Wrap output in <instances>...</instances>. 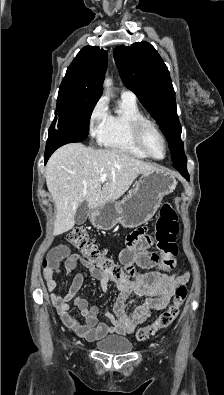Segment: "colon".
I'll return each instance as SVG.
<instances>
[{"label":"colon","mask_w":224,"mask_h":395,"mask_svg":"<svg viewBox=\"0 0 224 395\" xmlns=\"http://www.w3.org/2000/svg\"><path fill=\"white\" fill-rule=\"evenodd\" d=\"M155 230L157 248L162 257V268L164 270L171 269L174 267L173 256L177 254L175 241L179 231L177 214L171 204L167 203L161 207ZM68 241L81 252L87 262L98 266L102 272L118 280L123 277L121 268L98 249L86 229L74 228L68 233ZM187 293L186 286L184 284L179 285L169 307L160 313L153 322L139 328L135 334L136 339L145 341L150 336L170 326L177 318Z\"/></svg>","instance_id":"5ec220e1"}]
</instances>
